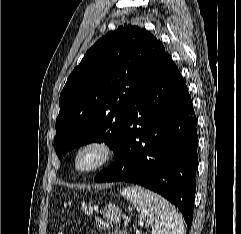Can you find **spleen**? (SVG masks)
Instances as JSON below:
<instances>
[{
    "label": "spleen",
    "mask_w": 241,
    "mask_h": 234,
    "mask_svg": "<svg viewBox=\"0 0 241 234\" xmlns=\"http://www.w3.org/2000/svg\"><path fill=\"white\" fill-rule=\"evenodd\" d=\"M121 195L151 225L152 234H184L182 215L159 194L138 185H130L122 189Z\"/></svg>",
    "instance_id": "3e777b00"
}]
</instances>
